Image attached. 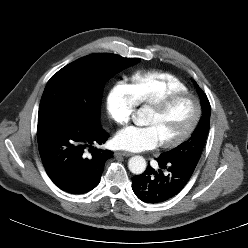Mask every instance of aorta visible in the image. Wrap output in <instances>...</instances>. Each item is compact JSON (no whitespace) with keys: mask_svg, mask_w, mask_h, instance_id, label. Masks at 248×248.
<instances>
[{"mask_svg":"<svg viewBox=\"0 0 248 248\" xmlns=\"http://www.w3.org/2000/svg\"><path fill=\"white\" fill-rule=\"evenodd\" d=\"M146 167V160L142 156H133L128 161V168L133 174H142L146 170Z\"/></svg>","mask_w":248,"mask_h":248,"instance_id":"aorta-1","label":"aorta"}]
</instances>
